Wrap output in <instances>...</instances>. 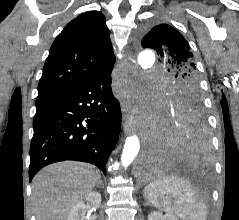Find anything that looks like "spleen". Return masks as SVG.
Wrapping results in <instances>:
<instances>
[{"label": "spleen", "mask_w": 239, "mask_h": 220, "mask_svg": "<svg viewBox=\"0 0 239 220\" xmlns=\"http://www.w3.org/2000/svg\"><path fill=\"white\" fill-rule=\"evenodd\" d=\"M144 195L154 207L181 220H207L204 202L182 177L167 175L158 178L145 187Z\"/></svg>", "instance_id": "3e777b00"}]
</instances>
